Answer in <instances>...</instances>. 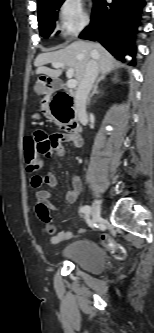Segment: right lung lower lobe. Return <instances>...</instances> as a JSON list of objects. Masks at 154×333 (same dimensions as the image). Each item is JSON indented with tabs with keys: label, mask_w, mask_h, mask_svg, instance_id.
<instances>
[{
	"label": "right lung lower lobe",
	"mask_w": 154,
	"mask_h": 333,
	"mask_svg": "<svg viewBox=\"0 0 154 333\" xmlns=\"http://www.w3.org/2000/svg\"><path fill=\"white\" fill-rule=\"evenodd\" d=\"M144 5V0H113L111 4L95 0L91 23L80 37L97 39L115 57L123 59Z\"/></svg>",
	"instance_id": "1"
}]
</instances>
